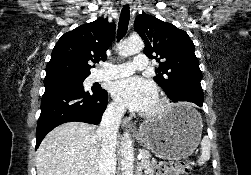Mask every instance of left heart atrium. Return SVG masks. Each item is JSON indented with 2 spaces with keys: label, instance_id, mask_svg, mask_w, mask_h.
<instances>
[{
  "label": "left heart atrium",
  "instance_id": "1",
  "mask_svg": "<svg viewBox=\"0 0 251 175\" xmlns=\"http://www.w3.org/2000/svg\"><path fill=\"white\" fill-rule=\"evenodd\" d=\"M111 91L121 106L141 112L151 111L158 100L155 85L140 76H128L115 81Z\"/></svg>",
  "mask_w": 251,
  "mask_h": 175
}]
</instances>
